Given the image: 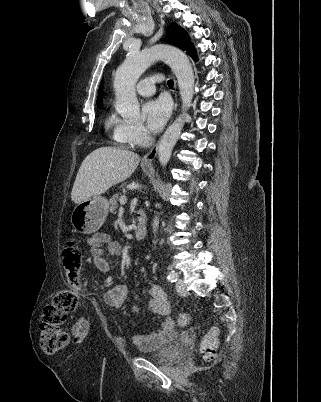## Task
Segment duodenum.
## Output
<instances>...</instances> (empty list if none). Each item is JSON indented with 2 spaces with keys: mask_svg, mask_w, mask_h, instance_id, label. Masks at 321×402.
Wrapping results in <instances>:
<instances>
[{
  "mask_svg": "<svg viewBox=\"0 0 321 402\" xmlns=\"http://www.w3.org/2000/svg\"><path fill=\"white\" fill-rule=\"evenodd\" d=\"M136 221H137V229L135 231V238L136 240L141 241L144 239L147 233L146 214L142 211H139L136 215Z\"/></svg>",
  "mask_w": 321,
  "mask_h": 402,
  "instance_id": "410a0bca",
  "label": "duodenum"
}]
</instances>
